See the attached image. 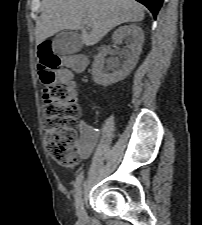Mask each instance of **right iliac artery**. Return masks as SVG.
Returning a JSON list of instances; mask_svg holds the SVG:
<instances>
[{
  "label": "right iliac artery",
  "instance_id": "obj_1",
  "mask_svg": "<svg viewBox=\"0 0 202 225\" xmlns=\"http://www.w3.org/2000/svg\"><path fill=\"white\" fill-rule=\"evenodd\" d=\"M83 176L82 175H78L74 184L75 187V191L77 192L80 188L81 182H82Z\"/></svg>",
  "mask_w": 202,
  "mask_h": 225
}]
</instances>
